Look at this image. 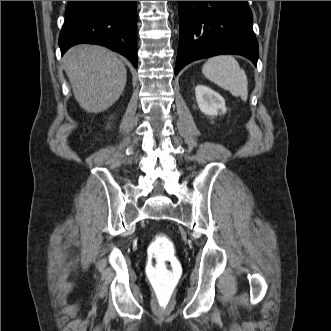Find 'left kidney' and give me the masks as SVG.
I'll return each mask as SVG.
<instances>
[{"label": "left kidney", "instance_id": "1", "mask_svg": "<svg viewBox=\"0 0 331 331\" xmlns=\"http://www.w3.org/2000/svg\"><path fill=\"white\" fill-rule=\"evenodd\" d=\"M195 94L198 107L204 114L217 116L219 111L223 114L226 112L224 98L211 88L204 85H197Z\"/></svg>", "mask_w": 331, "mask_h": 331}]
</instances>
